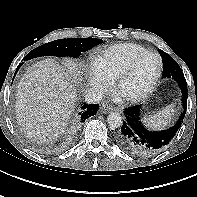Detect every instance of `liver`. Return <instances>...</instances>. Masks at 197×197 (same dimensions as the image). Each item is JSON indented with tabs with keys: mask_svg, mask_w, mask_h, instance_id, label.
Masks as SVG:
<instances>
[{
	"mask_svg": "<svg viewBox=\"0 0 197 197\" xmlns=\"http://www.w3.org/2000/svg\"><path fill=\"white\" fill-rule=\"evenodd\" d=\"M80 69L66 59L46 58L30 66L17 86L18 125L33 140L49 143L62 134L77 102Z\"/></svg>",
	"mask_w": 197,
	"mask_h": 197,
	"instance_id": "obj_1",
	"label": "liver"
}]
</instances>
